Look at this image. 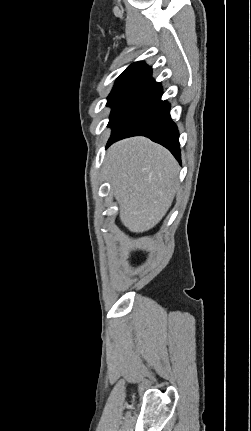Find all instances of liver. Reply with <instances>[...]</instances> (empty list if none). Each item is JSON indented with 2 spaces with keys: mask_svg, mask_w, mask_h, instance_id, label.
I'll use <instances>...</instances> for the list:
<instances>
[{
  "mask_svg": "<svg viewBox=\"0 0 251 431\" xmlns=\"http://www.w3.org/2000/svg\"><path fill=\"white\" fill-rule=\"evenodd\" d=\"M178 172L171 153L145 137L124 139L109 148L104 175L129 231L142 233L161 221L178 189Z\"/></svg>",
  "mask_w": 251,
  "mask_h": 431,
  "instance_id": "obj_1",
  "label": "liver"
}]
</instances>
